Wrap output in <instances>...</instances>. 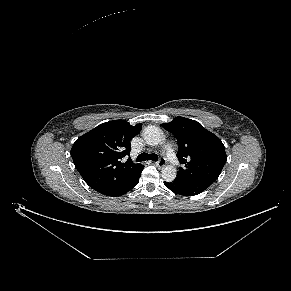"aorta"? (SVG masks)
<instances>
[{"label":"aorta","instance_id":"aorta-1","mask_svg":"<svg viewBox=\"0 0 291 291\" xmlns=\"http://www.w3.org/2000/svg\"><path fill=\"white\" fill-rule=\"evenodd\" d=\"M143 138L147 144L157 146L163 140V133L156 126H147L143 129ZM161 176L166 182H172L177 176V170L173 165H166L162 168Z\"/></svg>","mask_w":291,"mask_h":291}]
</instances>
